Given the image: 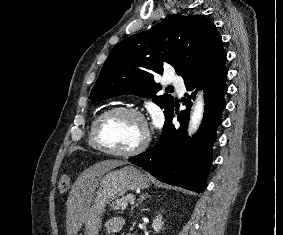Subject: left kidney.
Masks as SVG:
<instances>
[{"label":"left kidney","instance_id":"obj_1","mask_svg":"<svg viewBox=\"0 0 283 235\" xmlns=\"http://www.w3.org/2000/svg\"><path fill=\"white\" fill-rule=\"evenodd\" d=\"M164 222L162 220V216L158 215L152 223V228L154 229L155 232H159L162 229Z\"/></svg>","mask_w":283,"mask_h":235}]
</instances>
